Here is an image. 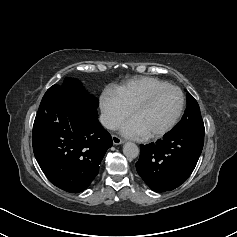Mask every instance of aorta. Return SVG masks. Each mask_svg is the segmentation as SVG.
Instances as JSON below:
<instances>
[{"instance_id":"obj_1","label":"aorta","mask_w":237,"mask_h":237,"mask_svg":"<svg viewBox=\"0 0 237 237\" xmlns=\"http://www.w3.org/2000/svg\"><path fill=\"white\" fill-rule=\"evenodd\" d=\"M123 153L128 159H134L139 155V148L133 142H127L123 146Z\"/></svg>"}]
</instances>
